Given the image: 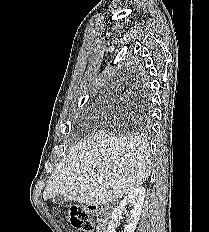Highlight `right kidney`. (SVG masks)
<instances>
[{"instance_id": "right-kidney-1", "label": "right kidney", "mask_w": 209, "mask_h": 232, "mask_svg": "<svg viewBox=\"0 0 209 232\" xmlns=\"http://www.w3.org/2000/svg\"><path fill=\"white\" fill-rule=\"evenodd\" d=\"M146 190L144 187H137L133 189L124 199L120 202L119 206L114 209L112 213V220L109 222L107 232H116V221L122 215L123 212L126 211V206L131 203L133 205V209L130 212L129 223L125 226L123 232H134L139 221L143 202L145 198Z\"/></svg>"}]
</instances>
